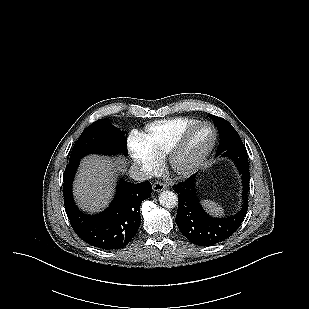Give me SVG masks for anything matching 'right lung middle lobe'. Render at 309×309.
<instances>
[{
    "label": "right lung middle lobe",
    "mask_w": 309,
    "mask_h": 309,
    "mask_svg": "<svg viewBox=\"0 0 309 309\" xmlns=\"http://www.w3.org/2000/svg\"><path fill=\"white\" fill-rule=\"evenodd\" d=\"M125 132L114 127L108 119H100L89 125L75 143L69 163L83 156L94 154H128Z\"/></svg>",
    "instance_id": "right-lung-middle-lobe-1"
}]
</instances>
